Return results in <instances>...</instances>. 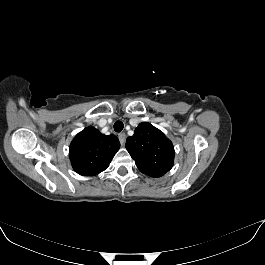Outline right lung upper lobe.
Masks as SVG:
<instances>
[{
	"label": "right lung upper lobe",
	"mask_w": 265,
	"mask_h": 265,
	"mask_svg": "<svg viewBox=\"0 0 265 265\" xmlns=\"http://www.w3.org/2000/svg\"><path fill=\"white\" fill-rule=\"evenodd\" d=\"M120 148L114 135H104L89 126L79 132L69 148V158L75 172L83 176H94L104 171Z\"/></svg>",
	"instance_id": "right-lung-upper-lobe-1"
}]
</instances>
